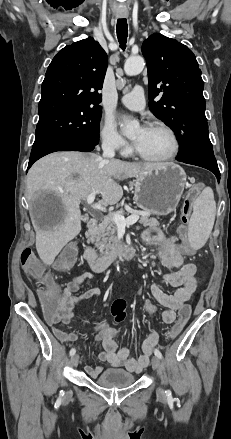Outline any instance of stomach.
<instances>
[{
  "instance_id": "0dacf381",
  "label": "stomach",
  "mask_w": 231,
  "mask_h": 439,
  "mask_svg": "<svg viewBox=\"0 0 231 439\" xmlns=\"http://www.w3.org/2000/svg\"><path fill=\"white\" fill-rule=\"evenodd\" d=\"M187 184L185 171L166 163L136 178L134 203L146 212L165 216L173 212Z\"/></svg>"
}]
</instances>
